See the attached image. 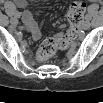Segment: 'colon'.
Returning <instances> with one entry per match:
<instances>
[{"label":"colon","mask_w":103,"mask_h":103,"mask_svg":"<svg viewBox=\"0 0 103 103\" xmlns=\"http://www.w3.org/2000/svg\"><path fill=\"white\" fill-rule=\"evenodd\" d=\"M86 6L83 2H74L71 4L68 18L70 22V28L55 37L45 39L38 50L37 58L40 62L47 60L57 50H66L77 39L81 25L85 18Z\"/></svg>","instance_id":"5ec220e1"}]
</instances>
